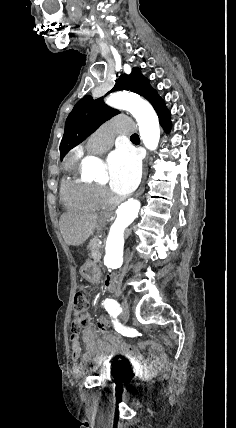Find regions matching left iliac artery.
Here are the masks:
<instances>
[{
  "label": "left iliac artery",
  "mask_w": 236,
  "mask_h": 428,
  "mask_svg": "<svg viewBox=\"0 0 236 428\" xmlns=\"http://www.w3.org/2000/svg\"><path fill=\"white\" fill-rule=\"evenodd\" d=\"M102 305H104V307H105V309L108 311V310H111V309H113L114 307H116L117 305H119L118 303H117V301H115V300H113V299H106L104 302H103V304Z\"/></svg>",
  "instance_id": "44dca946"
}]
</instances>
